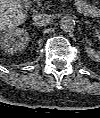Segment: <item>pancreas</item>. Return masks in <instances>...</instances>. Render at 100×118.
I'll return each instance as SVG.
<instances>
[{
  "label": "pancreas",
  "instance_id": "1",
  "mask_svg": "<svg viewBox=\"0 0 100 118\" xmlns=\"http://www.w3.org/2000/svg\"><path fill=\"white\" fill-rule=\"evenodd\" d=\"M39 2H38V4L40 5V1H43V0H38ZM46 7H48V6H46Z\"/></svg>",
  "mask_w": 100,
  "mask_h": 118
}]
</instances>
